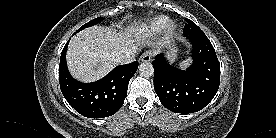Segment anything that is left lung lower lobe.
Listing matches in <instances>:
<instances>
[{
  "instance_id": "left-lung-lower-lobe-1",
  "label": "left lung lower lobe",
  "mask_w": 276,
  "mask_h": 138,
  "mask_svg": "<svg viewBox=\"0 0 276 138\" xmlns=\"http://www.w3.org/2000/svg\"><path fill=\"white\" fill-rule=\"evenodd\" d=\"M192 44V65L180 70L156 55L154 89L160 102L175 113H193L203 109L215 96L220 84V63L215 50L201 33L186 35Z\"/></svg>"
}]
</instances>
